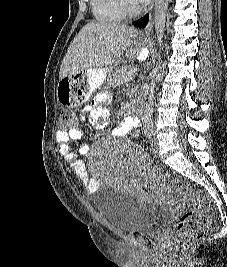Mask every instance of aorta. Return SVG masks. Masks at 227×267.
Returning a JSON list of instances; mask_svg holds the SVG:
<instances>
[{
	"label": "aorta",
	"mask_w": 227,
	"mask_h": 267,
	"mask_svg": "<svg viewBox=\"0 0 227 267\" xmlns=\"http://www.w3.org/2000/svg\"><path fill=\"white\" fill-rule=\"evenodd\" d=\"M168 3L169 0H154V14H153V22L156 32L157 43L159 49L161 51L163 36L165 31V24H166V16L168 10ZM160 56H158L159 62ZM151 83H150V90L149 96L145 107L144 112V122L147 127H150L153 123V100H154V93L156 88V82L159 77V67L156 66L153 68L152 72L150 73Z\"/></svg>",
	"instance_id": "obj_1"
}]
</instances>
